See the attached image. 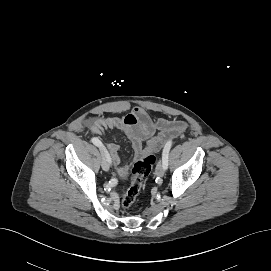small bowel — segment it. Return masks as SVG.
Instances as JSON below:
<instances>
[{
    "label": "small bowel",
    "mask_w": 271,
    "mask_h": 271,
    "mask_svg": "<svg viewBox=\"0 0 271 271\" xmlns=\"http://www.w3.org/2000/svg\"><path fill=\"white\" fill-rule=\"evenodd\" d=\"M87 126L92 134L100 135L108 130H116L124 133L130 140L135 159L159 149L170 137L180 134L186 129L183 121L159 118L153 120L141 107H135L129 114L123 117L108 116L90 118ZM158 133L156 134V132ZM144 142L146 146H144ZM112 156L117 174L125 178L129 173V165L121 163L119 146L114 143L107 145Z\"/></svg>",
    "instance_id": "small-bowel-1"
}]
</instances>
